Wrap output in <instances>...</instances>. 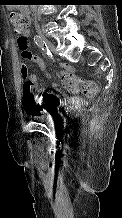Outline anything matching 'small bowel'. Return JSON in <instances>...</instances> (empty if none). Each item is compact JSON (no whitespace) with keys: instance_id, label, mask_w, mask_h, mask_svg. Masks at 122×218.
Segmentation results:
<instances>
[{"instance_id":"small-bowel-1","label":"small bowel","mask_w":122,"mask_h":218,"mask_svg":"<svg viewBox=\"0 0 122 218\" xmlns=\"http://www.w3.org/2000/svg\"><path fill=\"white\" fill-rule=\"evenodd\" d=\"M30 37H31V32L29 30H26L23 33H21L18 40L23 39L25 41V47L27 48L29 45ZM30 59L32 61H34L35 63H37L41 70L46 71L45 63L39 58L38 55L31 54ZM61 68H62V71H61V78L62 79L73 76V70L69 65L62 64ZM47 75H49V74L47 73ZM30 79L32 80V82L34 84L35 91H43V96L39 99V102L36 103L34 114H39V115L44 114L45 112L48 111L50 104L57 103L58 99L52 92L45 91L43 86L37 82V78L35 75L31 74ZM51 85L53 88H57V84L55 82L52 81ZM94 85L96 86L95 83H94ZM72 102L73 103L77 102V100H72ZM23 107L27 111V109L25 107L24 98H23Z\"/></svg>"}]
</instances>
